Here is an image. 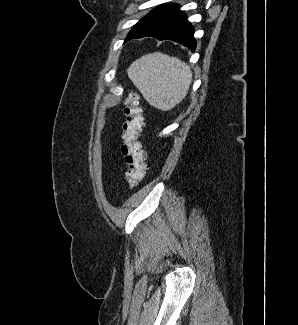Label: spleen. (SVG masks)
Listing matches in <instances>:
<instances>
[{
  "mask_svg": "<svg viewBox=\"0 0 298 325\" xmlns=\"http://www.w3.org/2000/svg\"><path fill=\"white\" fill-rule=\"evenodd\" d=\"M127 74L145 100L160 110H171L179 104L192 82L187 62L163 52H149L136 58L128 66Z\"/></svg>",
  "mask_w": 298,
  "mask_h": 325,
  "instance_id": "3e777b00",
  "label": "spleen"
}]
</instances>
